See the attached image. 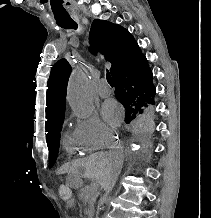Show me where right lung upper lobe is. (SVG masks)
Returning a JSON list of instances; mask_svg holds the SVG:
<instances>
[{"mask_svg":"<svg viewBox=\"0 0 211 218\" xmlns=\"http://www.w3.org/2000/svg\"><path fill=\"white\" fill-rule=\"evenodd\" d=\"M91 51H101L105 60L111 62V75L116 68L133 60L141 50L133 36L119 25L96 19L90 31ZM71 67L65 59L59 60L51 69L47 83L46 131L50 133L55 123L64 117L65 97Z\"/></svg>","mask_w":211,"mask_h":218,"instance_id":"right-lung-upper-lobe-1","label":"right lung upper lobe"}]
</instances>
